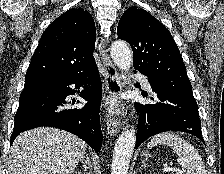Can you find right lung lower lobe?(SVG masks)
I'll list each match as a JSON object with an SVG mask.
<instances>
[{
    "instance_id": "1",
    "label": "right lung lower lobe",
    "mask_w": 224,
    "mask_h": 174,
    "mask_svg": "<svg viewBox=\"0 0 224 174\" xmlns=\"http://www.w3.org/2000/svg\"><path fill=\"white\" fill-rule=\"evenodd\" d=\"M83 87L80 96L87 101L82 109L70 108L67 96ZM101 79L97 66L72 75L57 76L26 83L20 95L15 114L11 143L23 131L50 126L71 132L96 152L102 146L99 109L101 102ZM75 101H72L74 104Z\"/></svg>"
}]
</instances>
